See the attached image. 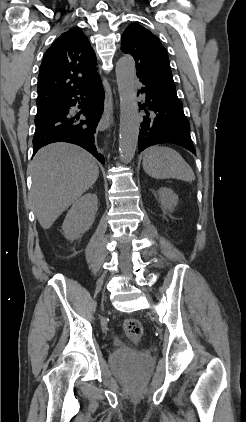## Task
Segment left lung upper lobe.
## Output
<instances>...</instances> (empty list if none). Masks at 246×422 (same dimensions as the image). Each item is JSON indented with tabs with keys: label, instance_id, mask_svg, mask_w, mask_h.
Listing matches in <instances>:
<instances>
[{
	"label": "left lung upper lobe",
	"instance_id": "1",
	"mask_svg": "<svg viewBox=\"0 0 246 422\" xmlns=\"http://www.w3.org/2000/svg\"><path fill=\"white\" fill-rule=\"evenodd\" d=\"M121 50L133 56L140 80L179 100L167 51L155 35L139 24H130L122 34Z\"/></svg>",
	"mask_w": 246,
	"mask_h": 422
}]
</instances>
